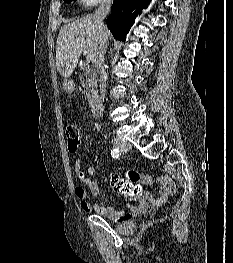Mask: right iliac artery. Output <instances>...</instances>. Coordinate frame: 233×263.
Masks as SVG:
<instances>
[{"label": "right iliac artery", "instance_id": "1", "mask_svg": "<svg viewBox=\"0 0 233 263\" xmlns=\"http://www.w3.org/2000/svg\"><path fill=\"white\" fill-rule=\"evenodd\" d=\"M111 156H112L113 158H119V156H120V151H119V149H117V148L112 149V150H111Z\"/></svg>", "mask_w": 233, "mask_h": 263}]
</instances>
